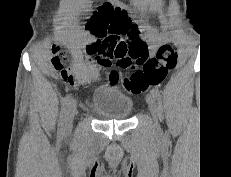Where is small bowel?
I'll return each mask as SVG.
<instances>
[{
  "label": "small bowel",
  "instance_id": "c3829d8e",
  "mask_svg": "<svg viewBox=\"0 0 231 177\" xmlns=\"http://www.w3.org/2000/svg\"><path fill=\"white\" fill-rule=\"evenodd\" d=\"M109 4H111L113 7H116V8H119L120 10H123L128 15L127 5L124 2H119V1L114 0L113 3H109ZM137 29H138L139 34H140L141 30H145L151 36L155 37L154 31L149 26H143L141 29H139L137 27ZM157 47H158V45L156 43H154L153 45H151L150 48L148 49V51L150 52V54L154 55L156 53V51H157ZM89 63H91V62H89ZM97 65L100 66V67H102V68H106L104 66L99 65L98 63H97ZM61 77L68 84H77V81L75 80L73 74L70 71H64V72H62L61 73ZM117 81H118V76L115 79H112V78L109 77V82L111 84H114Z\"/></svg>",
  "mask_w": 231,
  "mask_h": 177
}]
</instances>
